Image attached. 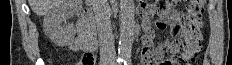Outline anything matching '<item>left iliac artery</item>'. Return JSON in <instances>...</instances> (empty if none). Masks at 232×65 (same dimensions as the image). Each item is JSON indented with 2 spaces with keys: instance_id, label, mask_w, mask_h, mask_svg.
I'll use <instances>...</instances> for the list:
<instances>
[{
  "instance_id": "1",
  "label": "left iliac artery",
  "mask_w": 232,
  "mask_h": 65,
  "mask_svg": "<svg viewBox=\"0 0 232 65\" xmlns=\"http://www.w3.org/2000/svg\"><path fill=\"white\" fill-rule=\"evenodd\" d=\"M124 65H131V58H130V56L125 57Z\"/></svg>"
}]
</instances>
